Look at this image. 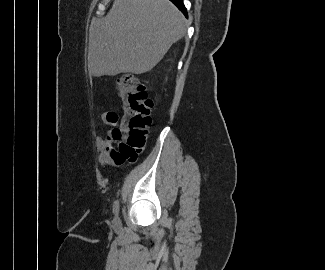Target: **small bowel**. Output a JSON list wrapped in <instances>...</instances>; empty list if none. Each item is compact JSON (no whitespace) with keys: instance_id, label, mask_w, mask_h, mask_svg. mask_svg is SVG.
I'll use <instances>...</instances> for the list:
<instances>
[{"instance_id":"obj_1","label":"small bowel","mask_w":325,"mask_h":270,"mask_svg":"<svg viewBox=\"0 0 325 270\" xmlns=\"http://www.w3.org/2000/svg\"><path fill=\"white\" fill-rule=\"evenodd\" d=\"M117 119L118 115L114 112H106L102 115L103 123L111 127L106 139L102 138L100 135L96 136V144L100 152V161L103 165L121 166L127 160L121 156L112 145L113 140L111 137V132Z\"/></svg>"}]
</instances>
